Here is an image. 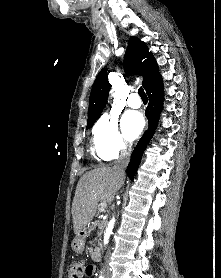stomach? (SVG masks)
I'll list each match as a JSON object with an SVG mask.
<instances>
[{"label": "stomach", "mask_w": 221, "mask_h": 278, "mask_svg": "<svg viewBox=\"0 0 221 278\" xmlns=\"http://www.w3.org/2000/svg\"><path fill=\"white\" fill-rule=\"evenodd\" d=\"M85 246V239L84 237L78 233L74 240L72 241L71 247L75 253H82Z\"/></svg>", "instance_id": "stomach-1"}]
</instances>
